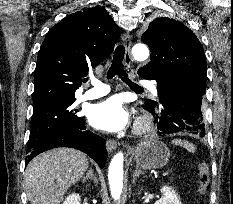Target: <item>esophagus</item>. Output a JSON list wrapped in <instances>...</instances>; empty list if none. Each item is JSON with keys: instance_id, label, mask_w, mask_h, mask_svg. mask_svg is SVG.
<instances>
[{"instance_id": "34e87169", "label": "esophagus", "mask_w": 233, "mask_h": 204, "mask_svg": "<svg viewBox=\"0 0 233 204\" xmlns=\"http://www.w3.org/2000/svg\"><path fill=\"white\" fill-rule=\"evenodd\" d=\"M122 40H123V43H124V47H125V58H124V62H125V65L126 66H130L131 65V35L129 32H125L122 36ZM117 147V141L116 140H113V139H108L106 141V149L108 151H113L115 150Z\"/></svg>"}]
</instances>
